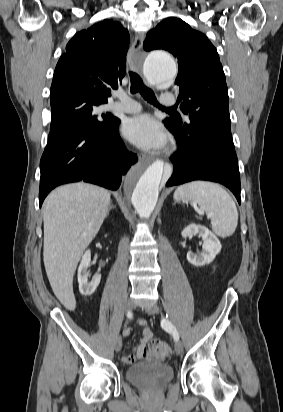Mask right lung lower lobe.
Returning a JSON list of instances; mask_svg holds the SVG:
<instances>
[{"mask_svg":"<svg viewBox=\"0 0 283 412\" xmlns=\"http://www.w3.org/2000/svg\"><path fill=\"white\" fill-rule=\"evenodd\" d=\"M116 120L104 130L83 126L59 131L48 138L40 160V207L56 186L85 181L116 190L137 155L128 152L120 138Z\"/></svg>","mask_w":283,"mask_h":412,"instance_id":"obj_1","label":"right lung lower lobe"}]
</instances>
